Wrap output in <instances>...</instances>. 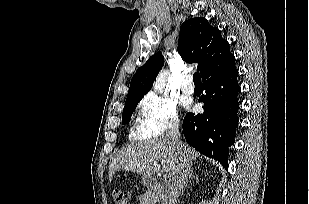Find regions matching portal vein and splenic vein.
<instances>
[{
    "label": "portal vein and splenic vein",
    "instance_id": "18ae733b",
    "mask_svg": "<svg viewBox=\"0 0 309 204\" xmlns=\"http://www.w3.org/2000/svg\"><path fill=\"white\" fill-rule=\"evenodd\" d=\"M168 179H169V176H168V175H165V176H164V180L167 181Z\"/></svg>",
    "mask_w": 309,
    "mask_h": 204
}]
</instances>
